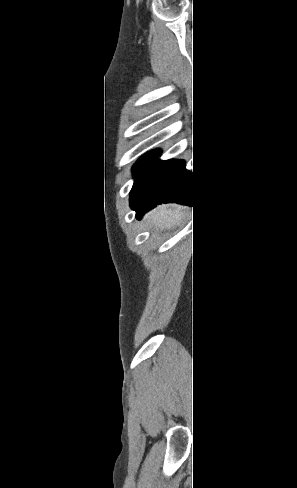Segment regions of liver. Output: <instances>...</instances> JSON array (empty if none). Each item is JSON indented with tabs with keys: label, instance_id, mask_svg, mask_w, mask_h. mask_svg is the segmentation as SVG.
Segmentation results:
<instances>
[{
	"label": "liver",
	"instance_id": "1",
	"mask_svg": "<svg viewBox=\"0 0 297 488\" xmlns=\"http://www.w3.org/2000/svg\"><path fill=\"white\" fill-rule=\"evenodd\" d=\"M188 215L187 210L179 205H162L146 215L148 222L155 226L156 229H168L174 226L178 221Z\"/></svg>",
	"mask_w": 297,
	"mask_h": 488
}]
</instances>
